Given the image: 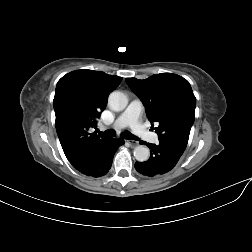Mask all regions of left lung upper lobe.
Wrapping results in <instances>:
<instances>
[{
  "instance_id": "5c2ea615",
  "label": "left lung upper lobe",
  "mask_w": 252,
  "mask_h": 252,
  "mask_svg": "<svg viewBox=\"0 0 252 252\" xmlns=\"http://www.w3.org/2000/svg\"><path fill=\"white\" fill-rule=\"evenodd\" d=\"M126 82L143 102L159 140L186 148L196 106L190 83L172 73L155 74L144 80L126 78Z\"/></svg>"
}]
</instances>
